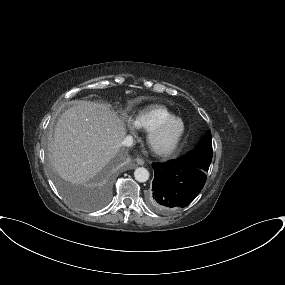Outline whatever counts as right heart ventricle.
Segmentation results:
<instances>
[{
    "label": "right heart ventricle",
    "mask_w": 285,
    "mask_h": 285,
    "mask_svg": "<svg viewBox=\"0 0 285 285\" xmlns=\"http://www.w3.org/2000/svg\"><path fill=\"white\" fill-rule=\"evenodd\" d=\"M175 117V115L162 105H154L141 110L133 120L134 125L149 132L162 121Z\"/></svg>",
    "instance_id": "obj_1"
}]
</instances>
